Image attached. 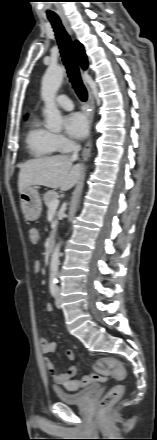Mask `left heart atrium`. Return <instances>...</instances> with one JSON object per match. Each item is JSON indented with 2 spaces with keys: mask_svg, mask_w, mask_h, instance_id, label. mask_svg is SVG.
Returning <instances> with one entry per match:
<instances>
[{
  "mask_svg": "<svg viewBox=\"0 0 157 440\" xmlns=\"http://www.w3.org/2000/svg\"><path fill=\"white\" fill-rule=\"evenodd\" d=\"M65 131L75 140L84 139L89 130L87 119L80 113H72L65 117Z\"/></svg>",
  "mask_w": 157,
  "mask_h": 440,
  "instance_id": "obj_1",
  "label": "left heart atrium"
}]
</instances>
